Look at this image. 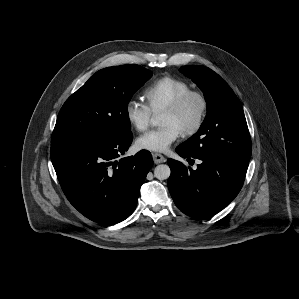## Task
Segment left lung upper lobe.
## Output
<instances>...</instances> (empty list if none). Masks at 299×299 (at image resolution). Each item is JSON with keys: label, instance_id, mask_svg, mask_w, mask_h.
I'll use <instances>...</instances> for the list:
<instances>
[{"label": "left lung upper lobe", "instance_id": "1", "mask_svg": "<svg viewBox=\"0 0 299 299\" xmlns=\"http://www.w3.org/2000/svg\"><path fill=\"white\" fill-rule=\"evenodd\" d=\"M204 94L207 115L200 129L179 145L193 157H227L249 161L251 138L242 106L229 85L205 66H182Z\"/></svg>", "mask_w": 299, "mask_h": 299}]
</instances>
